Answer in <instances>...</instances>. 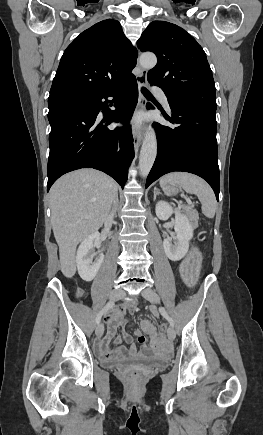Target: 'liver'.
Returning a JSON list of instances; mask_svg holds the SVG:
<instances>
[{
  "label": "liver",
  "instance_id": "6515ba94",
  "mask_svg": "<svg viewBox=\"0 0 263 435\" xmlns=\"http://www.w3.org/2000/svg\"><path fill=\"white\" fill-rule=\"evenodd\" d=\"M117 191L112 178L94 169L68 173L51 187L52 228L65 277L75 275L77 245L106 221Z\"/></svg>",
  "mask_w": 263,
  "mask_h": 435
}]
</instances>
